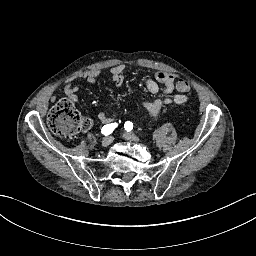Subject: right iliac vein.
<instances>
[{
    "label": "right iliac vein",
    "mask_w": 256,
    "mask_h": 256,
    "mask_svg": "<svg viewBox=\"0 0 256 256\" xmlns=\"http://www.w3.org/2000/svg\"><path fill=\"white\" fill-rule=\"evenodd\" d=\"M112 141H113L112 137H105V138H103L101 145L103 147H108L112 143Z\"/></svg>",
    "instance_id": "63e3f726"
}]
</instances>
